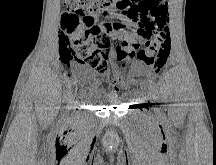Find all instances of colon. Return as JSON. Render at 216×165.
Returning <instances> with one entry per match:
<instances>
[{"mask_svg": "<svg viewBox=\"0 0 216 165\" xmlns=\"http://www.w3.org/2000/svg\"><path fill=\"white\" fill-rule=\"evenodd\" d=\"M137 0H64L59 29V55L67 65L83 66L99 76H105L110 67L111 46L109 37L97 24L96 16L117 5H130ZM157 19H150L140 29L139 41L125 42L117 46L113 53L117 60H135L142 67L157 72L166 63L171 42L167 26V12L159 10ZM134 18L139 13H128Z\"/></svg>", "mask_w": 216, "mask_h": 165, "instance_id": "colon-1", "label": "colon"}]
</instances>
